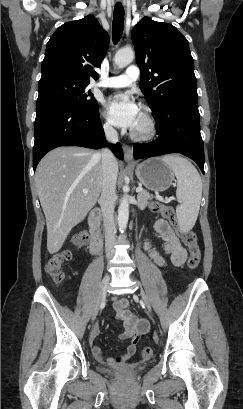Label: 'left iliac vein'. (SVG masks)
Segmentation results:
<instances>
[{
  "instance_id": "obj_1",
  "label": "left iliac vein",
  "mask_w": 243,
  "mask_h": 409,
  "mask_svg": "<svg viewBox=\"0 0 243 409\" xmlns=\"http://www.w3.org/2000/svg\"><path fill=\"white\" fill-rule=\"evenodd\" d=\"M141 297H142V300H143L144 303H145V306H146L147 310H148L149 312H151L152 309H151L150 302H149L148 298L145 296V294H144L143 292H141Z\"/></svg>"
}]
</instances>
